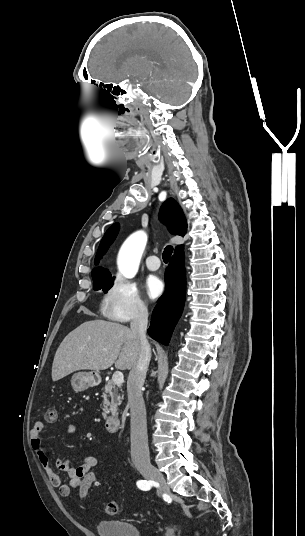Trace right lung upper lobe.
<instances>
[{
    "label": "right lung upper lobe",
    "mask_w": 305,
    "mask_h": 536,
    "mask_svg": "<svg viewBox=\"0 0 305 536\" xmlns=\"http://www.w3.org/2000/svg\"><path fill=\"white\" fill-rule=\"evenodd\" d=\"M160 219L167 225L169 231L174 235L184 236L187 230V222L179 204L173 199H167L160 209ZM119 230L118 223L113 224L105 233L98 248L94 263L99 264L101 255H104L109 245L115 239ZM182 246L175 248L174 254L182 253ZM112 277L107 269L97 267L92 270L93 279H103Z\"/></svg>",
    "instance_id": "right-lung-upper-lobe-1"
}]
</instances>
